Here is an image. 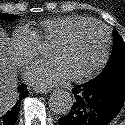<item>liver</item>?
Here are the masks:
<instances>
[{"mask_svg":"<svg viewBox=\"0 0 125 125\" xmlns=\"http://www.w3.org/2000/svg\"><path fill=\"white\" fill-rule=\"evenodd\" d=\"M9 45V38L0 28V115L15 102L17 95V73Z\"/></svg>","mask_w":125,"mask_h":125,"instance_id":"6515ba94","label":"liver"}]
</instances>
